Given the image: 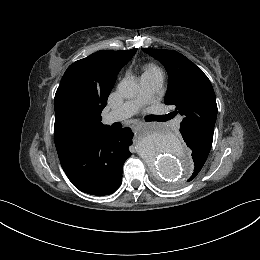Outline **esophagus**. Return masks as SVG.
Wrapping results in <instances>:
<instances>
[{"instance_id": "34e87169", "label": "esophagus", "mask_w": 260, "mask_h": 260, "mask_svg": "<svg viewBox=\"0 0 260 260\" xmlns=\"http://www.w3.org/2000/svg\"><path fill=\"white\" fill-rule=\"evenodd\" d=\"M144 125H146V122H144V121H138V122H136V124H135L136 127L144 126Z\"/></svg>"}]
</instances>
